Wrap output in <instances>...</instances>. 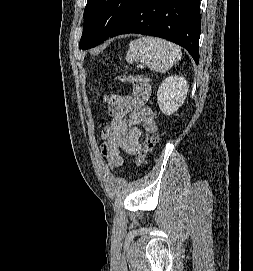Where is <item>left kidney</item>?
Here are the masks:
<instances>
[{
  "instance_id": "5707ae66",
  "label": "left kidney",
  "mask_w": 253,
  "mask_h": 271,
  "mask_svg": "<svg viewBox=\"0 0 253 271\" xmlns=\"http://www.w3.org/2000/svg\"><path fill=\"white\" fill-rule=\"evenodd\" d=\"M188 82L177 75L166 78L157 92L158 105L165 115L174 114L184 103L188 92Z\"/></svg>"
}]
</instances>
